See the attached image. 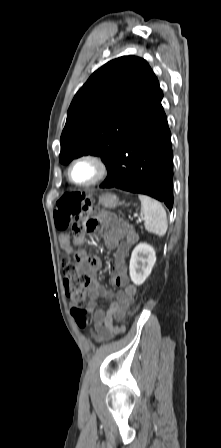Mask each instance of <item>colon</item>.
<instances>
[{
  "label": "colon",
  "mask_w": 221,
  "mask_h": 448,
  "mask_svg": "<svg viewBox=\"0 0 221 448\" xmlns=\"http://www.w3.org/2000/svg\"><path fill=\"white\" fill-rule=\"evenodd\" d=\"M55 224L58 229L72 227L74 236L83 237L96 227L92 217V199L80 192L63 195L56 203ZM66 295L71 300L72 315L79 327L91 323V315L85 305L86 289L90 277L71 259L62 261Z\"/></svg>",
  "instance_id": "colon-1"
}]
</instances>
